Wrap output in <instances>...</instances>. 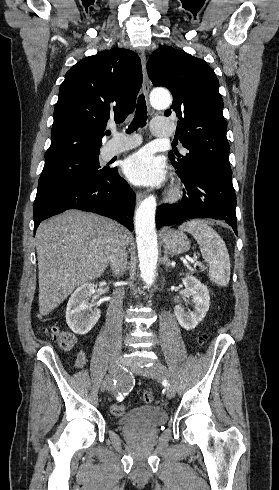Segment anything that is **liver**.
I'll return each mask as SVG.
<instances>
[{
    "label": "liver",
    "instance_id": "1",
    "mask_svg": "<svg viewBox=\"0 0 279 490\" xmlns=\"http://www.w3.org/2000/svg\"><path fill=\"white\" fill-rule=\"evenodd\" d=\"M116 234L129 244L126 228L109 218L80 210H67L40 224L35 246L42 316L53 312L75 288L104 274Z\"/></svg>",
    "mask_w": 279,
    "mask_h": 490
}]
</instances>
